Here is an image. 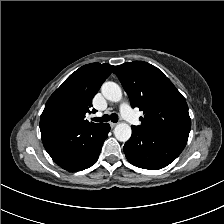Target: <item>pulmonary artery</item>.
Returning a JSON list of instances; mask_svg holds the SVG:
<instances>
[{
  "label": "pulmonary artery",
  "mask_w": 224,
  "mask_h": 224,
  "mask_svg": "<svg viewBox=\"0 0 224 224\" xmlns=\"http://www.w3.org/2000/svg\"><path fill=\"white\" fill-rule=\"evenodd\" d=\"M120 111L122 116L131 124L134 126L139 125V120L131 107L127 103H122L120 106Z\"/></svg>",
  "instance_id": "e3ab8cb5"
}]
</instances>
